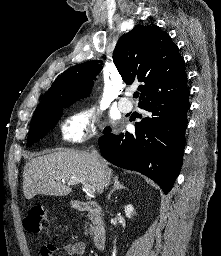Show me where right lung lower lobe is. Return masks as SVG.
Returning a JSON list of instances; mask_svg holds the SVG:
<instances>
[{
	"label": "right lung lower lobe",
	"mask_w": 221,
	"mask_h": 256,
	"mask_svg": "<svg viewBox=\"0 0 221 256\" xmlns=\"http://www.w3.org/2000/svg\"><path fill=\"white\" fill-rule=\"evenodd\" d=\"M189 91L159 96L138 105L146 111L135 134L110 133L99 138L103 157L112 164L138 171L167 194L178 176L185 147Z\"/></svg>",
	"instance_id": "obj_1"
}]
</instances>
